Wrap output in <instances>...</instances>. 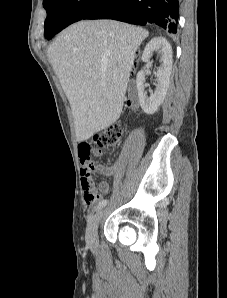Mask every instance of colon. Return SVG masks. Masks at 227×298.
<instances>
[{
	"mask_svg": "<svg viewBox=\"0 0 227 298\" xmlns=\"http://www.w3.org/2000/svg\"><path fill=\"white\" fill-rule=\"evenodd\" d=\"M122 140V131L119 126H110L94 137V142L101 148H116L120 145ZM90 146V145H89ZM79 153V147H78ZM84 196L87 204H94L99 199L97 192L85 187Z\"/></svg>",
	"mask_w": 227,
	"mask_h": 298,
	"instance_id": "5ec220e1",
	"label": "colon"
}]
</instances>
